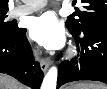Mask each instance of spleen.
Returning <instances> with one entry per match:
<instances>
[{
	"instance_id": "1",
	"label": "spleen",
	"mask_w": 107,
	"mask_h": 89,
	"mask_svg": "<svg viewBox=\"0 0 107 89\" xmlns=\"http://www.w3.org/2000/svg\"><path fill=\"white\" fill-rule=\"evenodd\" d=\"M81 89H106L107 87L103 84H80Z\"/></svg>"
}]
</instances>
